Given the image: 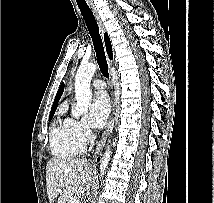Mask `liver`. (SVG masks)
I'll return each instance as SVG.
<instances>
[{"mask_svg": "<svg viewBox=\"0 0 214 203\" xmlns=\"http://www.w3.org/2000/svg\"><path fill=\"white\" fill-rule=\"evenodd\" d=\"M72 181L71 184H67ZM92 167L87 160H51L46 166L47 195L50 203H67L73 196L88 191ZM63 188L61 192L58 189Z\"/></svg>", "mask_w": 214, "mask_h": 203, "instance_id": "liver-1", "label": "liver"}]
</instances>
